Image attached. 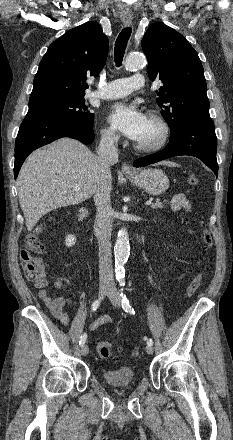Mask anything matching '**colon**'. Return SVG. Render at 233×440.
<instances>
[{"label":"colon","mask_w":233,"mask_h":440,"mask_svg":"<svg viewBox=\"0 0 233 440\" xmlns=\"http://www.w3.org/2000/svg\"><path fill=\"white\" fill-rule=\"evenodd\" d=\"M188 183L192 186H196L199 183V178L196 174H191L188 178ZM30 233L26 236L25 247L20 252V261L24 274L27 279L34 283L43 286L46 282L44 265L38 258V255L43 250L42 243L37 238V232ZM203 241L207 248H211L213 245L210 232L202 227ZM203 280V272H199L189 283L186 289V296L191 297L198 290ZM98 355L103 359H108L113 356L114 350L111 343L107 341H100L97 344ZM133 356H138V349L132 351Z\"/></svg>","instance_id":"colon-1"}]
</instances>
